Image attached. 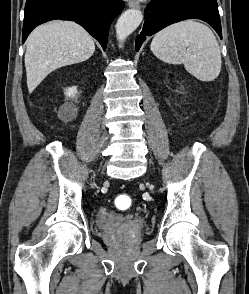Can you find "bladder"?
<instances>
[{"mask_svg":"<svg viewBox=\"0 0 249 294\" xmlns=\"http://www.w3.org/2000/svg\"><path fill=\"white\" fill-rule=\"evenodd\" d=\"M126 220L125 217H113V216H110L106 221H107V224L105 226V228L108 230V231H112L113 228H114V225L116 223H121V222H124Z\"/></svg>","mask_w":249,"mask_h":294,"instance_id":"bladder-1","label":"bladder"}]
</instances>
